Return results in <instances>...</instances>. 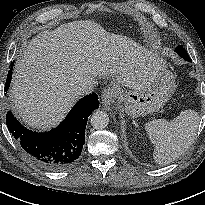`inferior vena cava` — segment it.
Wrapping results in <instances>:
<instances>
[{"label":"inferior vena cava","mask_w":205,"mask_h":205,"mask_svg":"<svg viewBox=\"0 0 205 205\" xmlns=\"http://www.w3.org/2000/svg\"><path fill=\"white\" fill-rule=\"evenodd\" d=\"M96 81L93 78H87L73 87V94L75 96H83L93 92Z\"/></svg>","instance_id":"obj_1"}]
</instances>
